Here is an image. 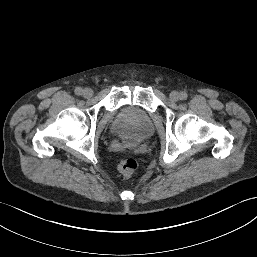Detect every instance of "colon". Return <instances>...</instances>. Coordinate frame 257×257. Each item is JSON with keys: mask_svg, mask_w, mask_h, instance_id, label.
<instances>
[{"mask_svg": "<svg viewBox=\"0 0 257 257\" xmlns=\"http://www.w3.org/2000/svg\"><path fill=\"white\" fill-rule=\"evenodd\" d=\"M138 168V163L134 158L126 157L120 160L118 164L119 171L127 176H132Z\"/></svg>", "mask_w": 257, "mask_h": 257, "instance_id": "1", "label": "colon"}]
</instances>
